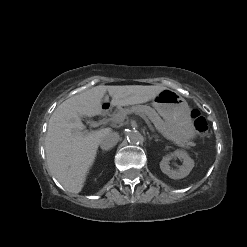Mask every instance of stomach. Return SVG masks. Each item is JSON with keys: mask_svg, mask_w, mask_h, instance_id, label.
Here are the masks:
<instances>
[{"mask_svg": "<svg viewBox=\"0 0 247 247\" xmlns=\"http://www.w3.org/2000/svg\"><path fill=\"white\" fill-rule=\"evenodd\" d=\"M153 107L164 118L170 130L182 141L196 138V129L186 100L174 90L166 88L152 102Z\"/></svg>", "mask_w": 247, "mask_h": 247, "instance_id": "obj_1", "label": "stomach"}]
</instances>
